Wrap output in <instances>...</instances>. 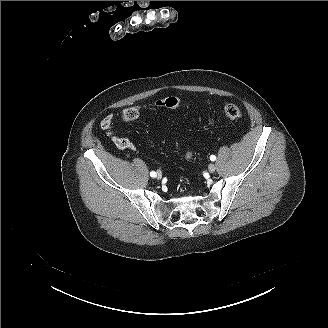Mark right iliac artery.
Segmentation results:
<instances>
[{"label": "right iliac artery", "mask_w": 328, "mask_h": 328, "mask_svg": "<svg viewBox=\"0 0 328 328\" xmlns=\"http://www.w3.org/2000/svg\"><path fill=\"white\" fill-rule=\"evenodd\" d=\"M150 176L151 177H156V172H154V171L150 172Z\"/></svg>", "instance_id": "obj_1"}]
</instances>
